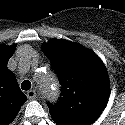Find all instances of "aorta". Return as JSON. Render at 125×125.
Masks as SVG:
<instances>
[{
    "label": "aorta",
    "instance_id": "1",
    "mask_svg": "<svg viewBox=\"0 0 125 125\" xmlns=\"http://www.w3.org/2000/svg\"><path fill=\"white\" fill-rule=\"evenodd\" d=\"M38 84L44 98L50 101H55L58 98L60 85L55 74L50 69L39 73Z\"/></svg>",
    "mask_w": 125,
    "mask_h": 125
}]
</instances>
